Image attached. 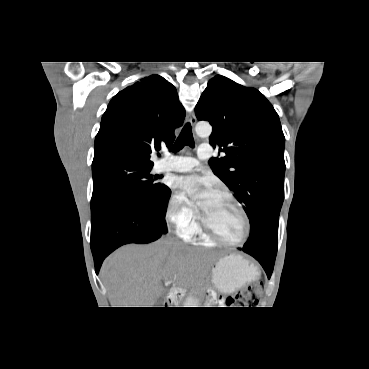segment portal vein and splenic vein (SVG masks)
<instances>
[{
  "label": "portal vein and splenic vein",
  "instance_id": "obj_1",
  "mask_svg": "<svg viewBox=\"0 0 369 369\" xmlns=\"http://www.w3.org/2000/svg\"><path fill=\"white\" fill-rule=\"evenodd\" d=\"M172 283V280H166L165 281V285H169V284H171Z\"/></svg>",
  "mask_w": 369,
  "mask_h": 369
}]
</instances>
